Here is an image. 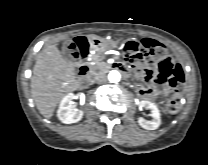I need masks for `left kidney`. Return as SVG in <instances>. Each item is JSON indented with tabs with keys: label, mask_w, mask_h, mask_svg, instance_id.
Segmentation results:
<instances>
[{
	"label": "left kidney",
	"mask_w": 208,
	"mask_h": 165,
	"mask_svg": "<svg viewBox=\"0 0 208 165\" xmlns=\"http://www.w3.org/2000/svg\"><path fill=\"white\" fill-rule=\"evenodd\" d=\"M139 108H146L149 109L151 112V120H145L144 118L140 117L138 119L139 125L146 129V130H155L157 129L160 124H161V119H160V111L157 108V106L150 102V101H140L138 103Z\"/></svg>",
	"instance_id": "obj_1"
}]
</instances>
